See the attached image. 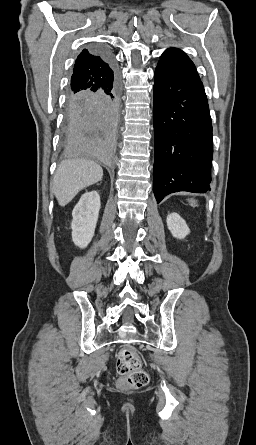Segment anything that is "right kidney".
I'll return each mask as SVG.
<instances>
[{
  "mask_svg": "<svg viewBox=\"0 0 256 445\" xmlns=\"http://www.w3.org/2000/svg\"><path fill=\"white\" fill-rule=\"evenodd\" d=\"M100 196L97 191L84 193L72 211V240L85 248L92 240L100 210Z\"/></svg>",
  "mask_w": 256,
  "mask_h": 445,
  "instance_id": "ca27d5eb",
  "label": "right kidney"
}]
</instances>
